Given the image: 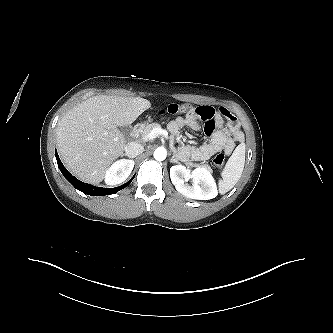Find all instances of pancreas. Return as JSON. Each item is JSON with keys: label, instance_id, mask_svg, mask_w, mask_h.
Listing matches in <instances>:
<instances>
[{"label": "pancreas", "instance_id": "pancreas-1", "mask_svg": "<svg viewBox=\"0 0 333 333\" xmlns=\"http://www.w3.org/2000/svg\"><path fill=\"white\" fill-rule=\"evenodd\" d=\"M161 127L160 124L158 123H151V124H147L146 126H143L139 129L141 136L143 137H147L148 134L154 129V128H158ZM173 140V139H172ZM192 166H201L199 164H193ZM203 167L206 168H210L208 165H202Z\"/></svg>", "mask_w": 333, "mask_h": 333}]
</instances>
